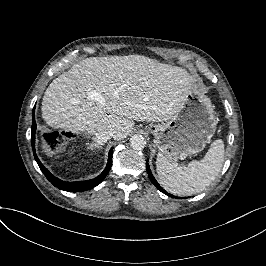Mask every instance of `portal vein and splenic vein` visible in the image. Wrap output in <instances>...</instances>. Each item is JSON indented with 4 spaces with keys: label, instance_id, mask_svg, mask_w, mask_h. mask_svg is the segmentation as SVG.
<instances>
[{
    "label": "portal vein and splenic vein",
    "instance_id": "1",
    "mask_svg": "<svg viewBox=\"0 0 266 266\" xmlns=\"http://www.w3.org/2000/svg\"><path fill=\"white\" fill-rule=\"evenodd\" d=\"M100 96L101 95L99 93H97L96 91H93L91 93H88L89 99L95 100L97 102H101L102 101Z\"/></svg>",
    "mask_w": 266,
    "mask_h": 266
}]
</instances>
